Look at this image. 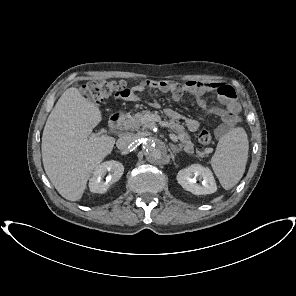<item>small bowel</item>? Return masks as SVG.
Here are the masks:
<instances>
[{"label":"small bowel","instance_id":"1","mask_svg":"<svg viewBox=\"0 0 296 296\" xmlns=\"http://www.w3.org/2000/svg\"><path fill=\"white\" fill-rule=\"evenodd\" d=\"M146 89H158L162 92L169 93L174 100L180 99L183 94H189L200 98L202 104L203 96L216 94L221 106L214 107L210 113L218 117L221 121L216 130L218 136L225 135L239 121L240 105L233 87L228 84L194 80L187 81L183 84L173 80H146L134 85L127 91L123 98L132 102L138 101L140 99L139 94ZM165 113L172 119L181 118V115L173 109H167ZM184 122L191 132L199 129V121L192 117L184 118Z\"/></svg>","mask_w":296,"mask_h":296}]
</instances>
